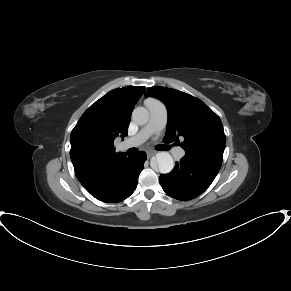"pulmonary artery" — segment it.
<instances>
[{
	"label": "pulmonary artery",
	"mask_w": 291,
	"mask_h": 291,
	"mask_svg": "<svg viewBox=\"0 0 291 291\" xmlns=\"http://www.w3.org/2000/svg\"><path fill=\"white\" fill-rule=\"evenodd\" d=\"M145 105L149 110L150 118L148 123L133 137L123 141L119 145L120 150H126L129 148L137 147L146 141L152 134L164 129L168 119L167 108L165 104L156 99L145 100ZM185 151L183 148H175L172 151V155L176 159H180L184 156Z\"/></svg>",
	"instance_id": "1"
}]
</instances>
